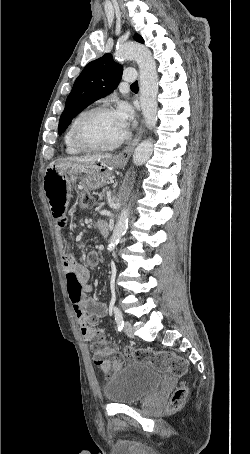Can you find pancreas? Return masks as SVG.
Masks as SVG:
<instances>
[{"label": "pancreas", "instance_id": "obj_1", "mask_svg": "<svg viewBox=\"0 0 250 454\" xmlns=\"http://www.w3.org/2000/svg\"><path fill=\"white\" fill-rule=\"evenodd\" d=\"M106 190H107V188L103 189L102 193H100V195H99L100 199H102L105 196Z\"/></svg>", "mask_w": 250, "mask_h": 454}]
</instances>
